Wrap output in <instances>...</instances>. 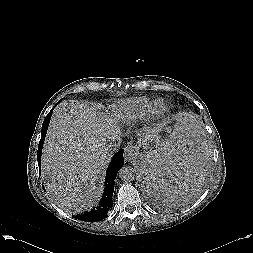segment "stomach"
I'll use <instances>...</instances> for the list:
<instances>
[{"instance_id": "stomach-1", "label": "stomach", "mask_w": 253, "mask_h": 253, "mask_svg": "<svg viewBox=\"0 0 253 253\" xmlns=\"http://www.w3.org/2000/svg\"><path fill=\"white\" fill-rule=\"evenodd\" d=\"M156 145H155V149L154 150H150L149 152H147L143 157L140 158V160L137 162V170H138V179L143 183H144V174L148 168V166L150 164L155 163L154 161V154L155 151L159 145V141L156 139L155 141ZM202 185V184H201ZM200 185V187H201ZM200 187L198 189H200Z\"/></svg>"}]
</instances>
